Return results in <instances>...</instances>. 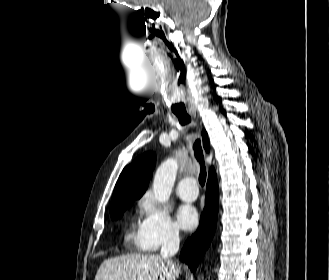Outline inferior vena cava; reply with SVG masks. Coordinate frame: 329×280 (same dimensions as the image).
Here are the masks:
<instances>
[{"instance_id":"1","label":"inferior vena cava","mask_w":329,"mask_h":280,"mask_svg":"<svg viewBox=\"0 0 329 280\" xmlns=\"http://www.w3.org/2000/svg\"><path fill=\"white\" fill-rule=\"evenodd\" d=\"M180 245L179 233L176 230H169L162 242L160 251L161 257L172 266H175L171 258L178 252Z\"/></svg>"}]
</instances>
